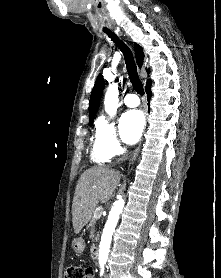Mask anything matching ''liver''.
<instances>
[{
    "label": "liver",
    "mask_w": 221,
    "mask_h": 278,
    "mask_svg": "<svg viewBox=\"0 0 221 278\" xmlns=\"http://www.w3.org/2000/svg\"><path fill=\"white\" fill-rule=\"evenodd\" d=\"M120 179L118 171L105 166L93 167L82 173L72 203V222L76 234L90 221L99 201L105 203L112 197Z\"/></svg>",
    "instance_id": "6515ba94"
}]
</instances>
